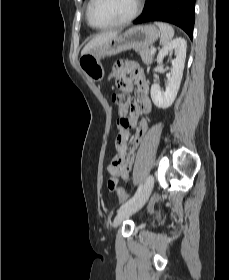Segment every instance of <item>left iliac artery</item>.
<instances>
[{"instance_id": "1", "label": "left iliac artery", "mask_w": 229, "mask_h": 280, "mask_svg": "<svg viewBox=\"0 0 229 280\" xmlns=\"http://www.w3.org/2000/svg\"><path fill=\"white\" fill-rule=\"evenodd\" d=\"M142 192V185L139 186V188L137 189L136 193L126 202L124 203L119 210L123 209L124 207L132 204L141 194Z\"/></svg>"}]
</instances>
